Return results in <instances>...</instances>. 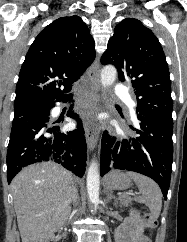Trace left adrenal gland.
Returning a JSON list of instances; mask_svg holds the SVG:
<instances>
[{"instance_id": "left-adrenal-gland-1", "label": "left adrenal gland", "mask_w": 187, "mask_h": 242, "mask_svg": "<svg viewBox=\"0 0 187 242\" xmlns=\"http://www.w3.org/2000/svg\"><path fill=\"white\" fill-rule=\"evenodd\" d=\"M106 201L109 202L111 199L114 200V205H117V198L112 194V192L107 191L106 192Z\"/></svg>"}]
</instances>
